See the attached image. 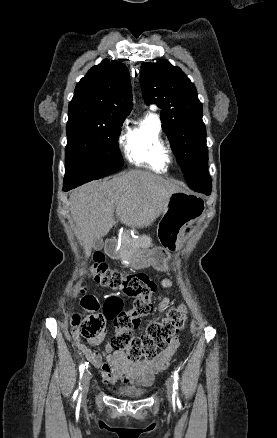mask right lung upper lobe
Here are the masks:
<instances>
[{
	"mask_svg": "<svg viewBox=\"0 0 277 438\" xmlns=\"http://www.w3.org/2000/svg\"><path fill=\"white\" fill-rule=\"evenodd\" d=\"M132 106L128 68L106 59L92 67L76 85L68 120L117 123L124 121Z\"/></svg>",
	"mask_w": 277,
	"mask_h": 438,
	"instance_id": "obj_1",
	"label": "right lung upper lobe"
}]
</instances>
